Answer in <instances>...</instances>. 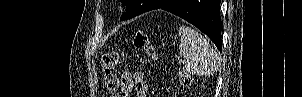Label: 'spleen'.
Returning <instances> with one entry per match:
<instances>
[{
    "mask_svg": "<svg viewBox=\"0 0 302 97\" xmlns=\"http://www.w3.org/2000/svg\"><path fill=\"white\" fill-rule=\"evenodd\" d=\"M179 54L186 60L183 71L192 75H212L220 65L218 53L200 33L188 26L179 27Z\"/></svg>",
    "mask_w": 302,
    "mask_h": 97,
    "instance_id": "obj_1",
    "label": "spleen"
}]
</instances>
